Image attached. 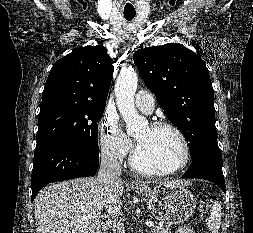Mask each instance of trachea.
<instances>
[{
	"label": "trachea",
	"instance_id": "3493384b",
	"mask_svg": "<svg viewBox=\"0 0 253 233\" xmlns=\"http://www.w3.org/2000/svg\"><path fill=\"white\" fill-rule=\"evenodd\" d=\"M124 17L126 20L131 21L135 17V12L134 13H124Z\"/></svg>",
	"mask_w": 253,
	"mask_h": 233
}]
</instances>
